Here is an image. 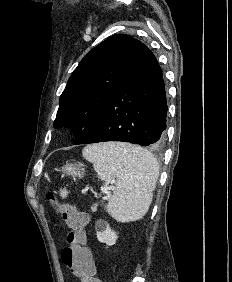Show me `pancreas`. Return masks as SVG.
Returning a JSON list of instances; mask_svg holds the SVG:
<instances>
[{"label": "pancreas", "mask_w": 232, "mask_h": 282, "mask_svg": "<svg viewBox=\"0 0 232 282\" xmlns=\"http://www.w3.org/2000/svg\"><path fill=\"white\" fill-rule=\"evenodd\" d=\"M92 211H96L97 209V204H94L92 207H91Z\"/></svg>", "instance_id": "1"}]
</instances>
